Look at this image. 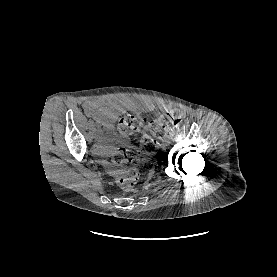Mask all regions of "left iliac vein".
Wrapping results in <instances>:
<instances>
[{"instance_id":"obj_1","label":"left iliac vein","mask_w":277,"mask_h":277,"mask_svg":"<svg viewBox=\"0 0 277 277\" xmlns=\"http://www.w3.org/2000/svg\"><path fill=\"white\" fill-rule=\"evenodd\" d=\"M172 140V137H167L164 139V144L168 145Z\"/></svg>"}]
</instances>
